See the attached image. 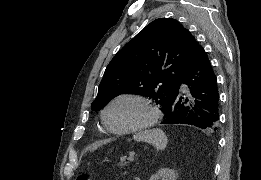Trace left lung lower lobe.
Instances as JSON below:
<instances>
[{
  "label": "left lung lower lobe",
  "mask_w": 261,
  "mask_h": 180,
  "mask_svg": "<svg viewBox=\"0 0 261 180\" xmlns=\"http://www.w3.org/2000/svg\"><path fill=\"white\" fill-rule=\"evenodd\" d=\"M164 112V124H188L217 130L219 93L217 78L205 50L198 45L195 56L179 77Z\"/></svg>",
  "instance_id": "obj_1"
}]
</instances>
